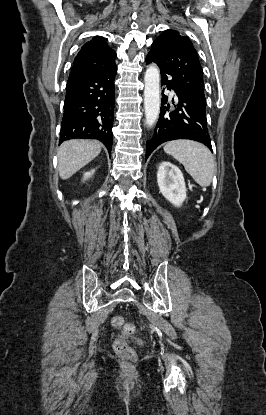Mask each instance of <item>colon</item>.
Instances as JSON below:
<instances>
[{
  "instance_id": "5ec220e1",
  "label": "colon",
  "mask_w": 266,
  "mask_h": 415,
  "mask_svg": "<svg viewBox=\"0 0 266 415\" xmlns=\"http://www.w3.org/2000/svg\"><path fill=\"white\" fill-rule=\"evenodd\" d=\"M111 325L113 328L121 331V335H119L114 342L115 352L124 359L133 360L136 356L135 352L127 344L125 337L132 334L135 327L132 324L127 323L121 315H114L111 318Z\"/></svg>"
}]
</instances>
